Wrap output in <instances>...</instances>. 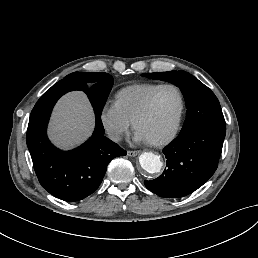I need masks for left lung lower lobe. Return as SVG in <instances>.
<instances>
[{
    "label": "left lung lower lobe",
    "mask_w": 258,
    "mask_h": 258,
    "mask_svg": "<svg viewBox=\"0 0 258 258\" xmlns=\"http://www.w3.org/2000/svg\"><path fill=\"white\" fill-rule=\"evenodd\" d=\"M225 130L209 126L177 137L163 149L167 169L158 178L144 181L145 186L164 198H181L200 188L217 169Z\"/></svg>",
    "instance_id": "left-lung-lower-lobe-1"
}]
</instances>
